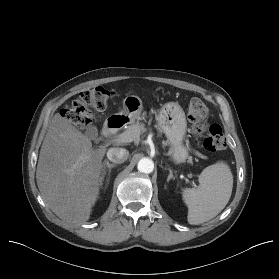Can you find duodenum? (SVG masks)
<instances>
[{
	"label": "duodenum",
	"mask_w": 279,
	"mask_h": 279,
	"mask_svg": "<svg viewBox=\"0 0 279 279\" xmlns=\"http://www.w3.org/2000/svg\"><path fill=\"white\" fill-rule=\"evenodd\" d=\"M123 124V120L119 116L108 119L102 129V135L104 137L113 135L123 126Z\"/></svg>",
	"instance_id": "duodenum-1"
}]
</instances>
